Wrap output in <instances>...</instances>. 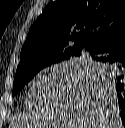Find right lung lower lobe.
<instances>
[{"instance_id":"1","label":"right lung lower lobe","mask_w":125,"mask_h":128,"mask_svg":"<svg viewBox=\"0 0 125 128\" xmlns=\"http://www.w3.org/2000/svg\"><path fill=\"white\" fill-rule=\"evenodd\" d=\"M92 56L99 63L95 70L106 73V81L115 91L119 116L125 126V29L96 48Z\"/></svg>"}]
</instances>
